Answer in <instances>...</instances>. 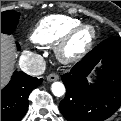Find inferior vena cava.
Instances as JSON below:
<instances>
[{"mask_svg": "<svg viewBox=\"0 0 121 121\" xmlns=\"http://www.w3.org/2000/svg\"><path fill=\"white\" fill-rule=\"evenodd\" d=\"M20 68L23 72L31 76H38L44 73L46 63L44 58L39 54H34L26 62L20 63Z\"/></svg>", "mask_w": 121, "mask_h": 121, "instance_id": "1", "label": "inferior vena cava"}]
</instances>
